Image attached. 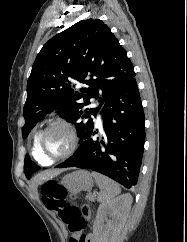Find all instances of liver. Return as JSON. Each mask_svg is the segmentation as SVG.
Returning <instances> with one entry per match:
<instances>
[{
  "label": "liver",
  "mask_w": 187,
  "mask_h": 242,
  "mask_svg": "<svg viewBox=\"0 0 187 242\" xmlns=\"http://www.w3.org/2000/svg\"><path fill=\"white\" fill-rule=\"evenodd\" d=\"M59 173H61V170H54V171L40 173L34 178V183L38 184L43 180H48L54 177L55 175H58Z\"/></svg>",
  "instance_id": "liver-1"
}]
</instances>
